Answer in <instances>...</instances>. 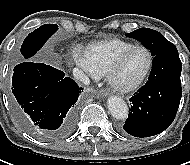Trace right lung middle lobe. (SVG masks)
<instances>
[{
  "mask_svg": "<svg viewBox=\"0 0 190 165\" xmlns=\"http://www.w3.org/2000/svg\"><path fill=\"white\" fill-rule=\"evenodd\" d=\"M56 24H45L30 33L21 46V54L25 59L34 56L45 42L57 31Z\"/></svg>",
  "mask_w": 190,
  "mask_h": 165,
  "instance_id": "1",
  "label": "right lung middle lobe"
}]
</instances>
